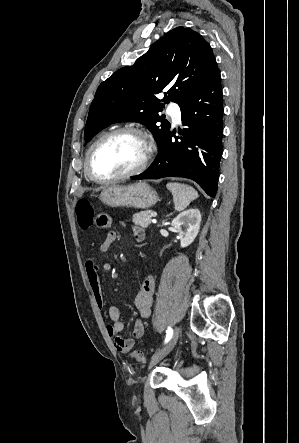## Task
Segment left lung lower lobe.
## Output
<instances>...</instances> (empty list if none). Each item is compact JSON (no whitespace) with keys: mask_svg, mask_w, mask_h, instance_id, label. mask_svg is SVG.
<instances>
[{"mask_svg":"<svg viewBox=\"0 0 299 443\" xmlns=\"http://www.w3.org/2000/svg\"><path fill=\"white\" fill-rule=\"evenodd\" d=\"M184 131L172 138L168 131L158 145L151 166L132 179L185 177L196 181L214 197L217 191L221 139L223 132V94L220 71L215 62L211 70L181 102ZM175 132H173V135Z\"/></svg>","mask_w":299,"mask_h":443,"instance_id":"left-lung-lower-lobe-1","label":"left lung lower lobe"}]
</instances>
